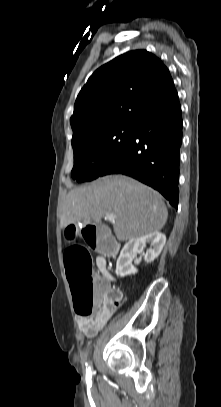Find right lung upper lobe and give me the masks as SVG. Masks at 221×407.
I'll list each match as a JSON object with an SVG mask.
<instances>
[{"instance_id": "1", "label": "right lung upper lobe", "mask_w": 221, "mask_h": 407, "mask_svg": "<svg viewBox=\"0 0 221 407\" xmlns=\"http://www.w3.org/2000/svg\"><path fill=\"white\" fill-rule=\"evenodd\" d=\"M175 91L169 70L150 52L116 57L97 69L77 96L72 143L109 127L135 124Z\"/></svg>"}]
</instances>
